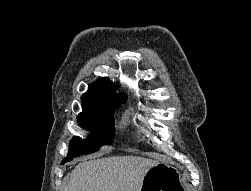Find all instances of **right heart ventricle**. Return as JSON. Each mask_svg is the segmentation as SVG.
I'll list each match as a JSON object with an SVG mask.
<instances>
[{
    "label": "right heart ventricle",
    "mask_w": 251,
    "mask_h": 191,
    "mask_svg": "<svg viewBox=\"0 0 251 191\" xmlns=\"http://www.w3.org/2000/svg\"><path fill=\"white\" fill-rule=\"evenodd\" d=\"M131 91H138V89L137 88H132ZM135 97H137V96H135Z\"/></svg>",
    "instance_id": "1"
}]
</instances>
